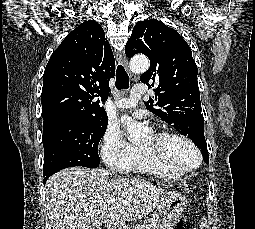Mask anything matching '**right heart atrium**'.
I'll return each mask as SVG.
<instances>
[{"mask_svg":"<svg viewBox=\"0 0 255 229\" xmlns=\"http://www.w3.org/2000/svg\"><path fill=\"white\" fill-rule=\"evenodd\" d=\"M132 152V145L127 142L117 128L109 127L100 143V155L105 165L114 171H123Z\"/></svg>","mask_w":255,"mask_h":229,"instance_id":"1","label":"right heart atrium"}]
</instances>
